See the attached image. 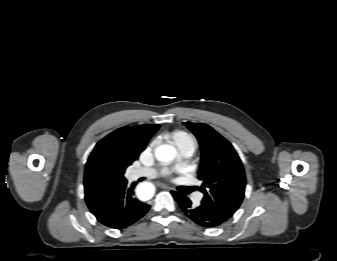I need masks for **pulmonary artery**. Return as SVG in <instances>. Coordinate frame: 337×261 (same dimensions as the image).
I'll return each mask as SVG.
<instances>
[{"label": "pulmonary artery", "instance_id": "1", "mask_svg": "<svg viewBox=\"0 0 337 261\" xmlns=\"http://www.w3.org/2000/svg\"><path fill=\"white\" fill-rule=\"evenodd\" d=\"M195 148H196L195 144H188L179 148V150L184 157L188 158L194 154ZM156 176H157L156 169L146 167L134 169L131 173V177L133 179H137L140 177L154 178ZM201 198H202L201 194H196L194 197V201L197 203L201 200Z\"/></svg>", "mask_w": 337, "mask_h": 261}]
</instances>
